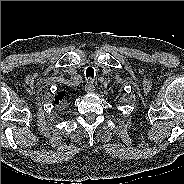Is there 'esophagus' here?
I'll return each mask as SVG.
<instances>
[{"mask_svg": "<svg viewBox=\"0 0 184 184\" xmlns=\"http://www.w3.org/2000/svg\"><path fill=\"white\" fill-rule=\"evenodd\" d=\"M94 90H95V87H94V84H93V80L87 81V83L85 85V91L87 93H92V92H94Z\"/></svg>", "mask_w": 184, "mask_h": 184, "instance_id": "esophagus-1", "label": "esophagus"}]
</instances>
